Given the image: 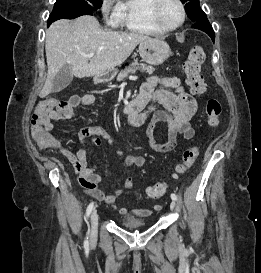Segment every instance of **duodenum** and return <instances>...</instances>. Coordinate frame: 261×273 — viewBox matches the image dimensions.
Here are the masks:
<instances>
[{
    "label": "duodenum",
    "mask_w": 261,
    "mask_h": 273,
    "mask_svg": "<svg viewBox=\"0 0 261 273\" xmlns=\"http://www.w3.org/2000/svg\"><path fill=\"white\" fill-rule=\"evenodd\" d=\"M146 103V98L137 97L124 106L123 111L128 115L132 126H140L146 121L147 113L144 110Z\"/></svg>",
    "instance_id": "1"
}]
</instances>
